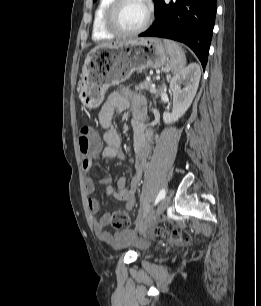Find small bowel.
<instances>
[{
	"label": "small bowel",
	"mask_w": 261,
	"mask_h": 306,
	"mask_svg": "<svg viewBox=\"0 0 261 306\" xmlns=\"http://www.w3.org/2000/svg\"><path fill=\"white\" fill-rule=\"evenodd\" d=\"M132 106V128L133 142L135 150V174L130 180L129 187L126 186V178L120 177L117 180L116 187L111 178H103L99 184L104 188L107 194L113 195L121 201L124 209L132 210L135 207V192L141 182V172L146 166V158L150 152L149 141L152 133L145 130L144 120L146 118V102L143 96L132 94L125 90L111 93L99 112V123L104 129L103 140L105 147L101 151V157L104 159L124 160L125 154L121 150V136L113 127V119L117 112H124ZM93 159L83 160L84 170L88 177L85 180V191L88 195L87 205L90 214L93 217L92 225L97 236L104 242L115 247H123L133 240V234L127 231L111 234L105 230L110 222V213L103 214L96 218L100 211L99 201L93 197L96 183L89 175L92 171Z\"/></svg>",
	"instance_id": "c3829d8e"
}]
</instances>
